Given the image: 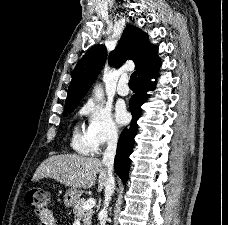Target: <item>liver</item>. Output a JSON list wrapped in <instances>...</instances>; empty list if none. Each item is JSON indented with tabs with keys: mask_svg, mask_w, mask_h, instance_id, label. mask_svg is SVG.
<instances>
[{
	"mask_svg": "<svg viewBox=\"0 0 228 225\" xmlns=\"http://www.w3.org/2000/svg\"><path fill=\"white\" fill-rule=\"evenodd\" d=\"M99 159L82 155H54L43 161L33 175V181L55 179L71 189H90L96 183L99 173V189H103L107 171Z\"/></svg>",
	"mask_w": 228,
	"mask_h": 225,
	"instance_id": "obj_1",
	"label": "liver"
}]
</instances>
